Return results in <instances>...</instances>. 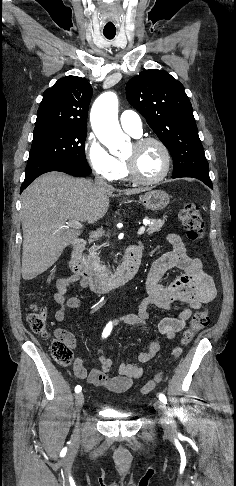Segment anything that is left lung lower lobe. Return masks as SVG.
Listing matches in <instances>:
<instances>
[{
	"instance_id": "left-lung-lower-lobe-1",
	"label": "left lung lower lobe",
	"mask_w": 236,
	"mask_h": 486,
	"mask_svg": "<svg viewBox=\"0 0 236 486\" xmlns=\"http://www.w3.org/2000/svg\"><path fill=\"white\" fill-rule=\"evenodd\" d=\"M172 178H178V177H172ZM197 179L201 180L203 183H205L211 189L213 188L211 180H204V179H200V178H197Z\"/></svg>"
}]
</instances>
